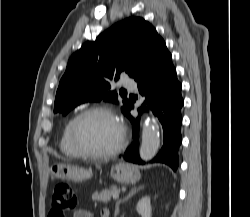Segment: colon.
Listing matches in <instances>:
<instances>
[{"instance_id": "colon-1", "label": "colon", "mask_w": 250, "mask_h": 217, "mask_svg": "<svg viewBox=\"0 0 250 217\" xmlns=\"http://www.w3.org/2000/svg\"><path fill=\"white\" fill-rule=\"evenodd\" d=\"M76 206V196L68 183H58L50 198V212L48 217H67L69 211Z\"/></svg>"}]
</instances>
